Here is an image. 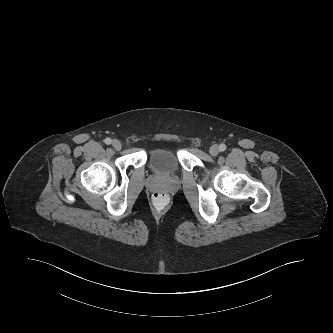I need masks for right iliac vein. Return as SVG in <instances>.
I'll use <instances>...</instances> for the list:
<instances>
[{
	"label": "right iliac vein",
	"instance_id": "63e3f726",
	"mask_svg": "<svg viewBox=\"0 0 333 333\" xmlns=\"http://www.w3.org/2000/svg\"><path fill=\"white\" fill-rule=\"evenodd\" d=\"M112 146L116 150H120L122 148V144L119 140H113Z\"/></svg>",
	"mask_w": 333,
	"mask_h": 333
}]
</instances>
